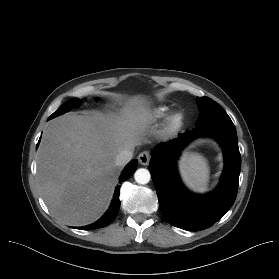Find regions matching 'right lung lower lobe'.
I'll return each instance as SVG.
<instances>
[{"mask_svg":"<svg viewBox=\"0 0 279 279\" xmlns=\"http://www.w3.org/2000/svg\"><path fill=\"white\" fill-rule=\"evenodd\" d=\"M37 147H38V144H37ZM137 163H138L137 160H133L126 166V168L123 170V173L121 174V176L119 178L120 184H122L123 181L128 180L133 175V173L137 169ZM120 187H121V185H118L116 187L112 203H111L109 209L107 210V212L102 216V218L91 225L79 227L78 229L92 230V229H97V228H101V227H105V226L109 225L116 218V216L119 212Z\"/></svg>","mask_w":279,"mask_h":279,"instance_id":"right-lung-lower-lobe-1","label":"right lung lower lobe"}]
</instances>
